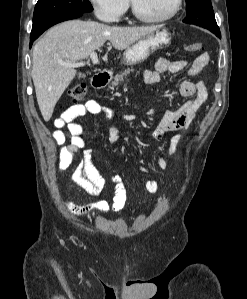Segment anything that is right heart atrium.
<instances>
[{"instance_id": "1", "label": "right heart atrium", "mask_w": 247, "mask_h": 299, "mask_svg": "<svg viewBox=\"0 0 247 299\" xmlns=\"http://www.w3.org/2000/svg\"><path fill=\"white\" fill-rule=\"evenodd\" d=\"M96 16L104 22H118L128 9V0H89Z\"/></svg>"}]
</instances>
